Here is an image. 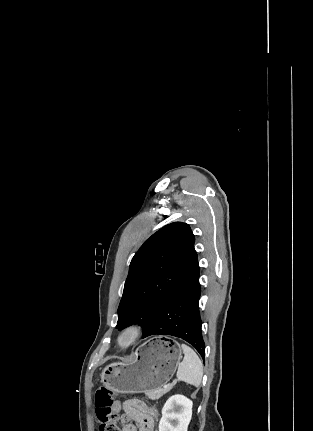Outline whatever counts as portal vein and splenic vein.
I'll return each mask as SVG.
<instances>
[{"mask_svg": "<svg viewBox=\"0 0 313 431\" xmlns=\"http://www.w3.org/2000/svg\"><path fill=\"white\" fill-rule=\"evenodd\" d=\"M173 383H176V380H175V379L173 380ZM167 386H168V385H167Z\"/></svg>", "mask_w": 313, "mask_h": 431, "instance_id": "portal-vein-and-splenic-vein-1", "label": "portal vein and splenic vein"}]
</instances>
